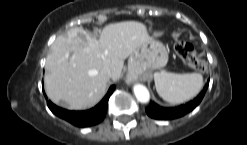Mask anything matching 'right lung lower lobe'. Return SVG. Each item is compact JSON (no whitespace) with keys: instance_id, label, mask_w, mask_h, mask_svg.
I'll list each match as a JSON object with an SVG mask.
<instances>
[{"instance_id":"right-lung-lower-lobe-1","label":"right lung lower lobe","mask_w":247,"mask_h":145,"mask_svg":"<svg viewBox=\"0 0 247 145\" xmlns=\"http://www.w3.org/2000/svg\"><path fill=\"white\" fill-rule=\"evenodd\" d=\"M114 89L115 86L112 85L102 101L96 107L87 111H68L57 107L51 101H48L47 104L50 110L60 118L70 122L75 126L87 127L98 124L104 119L107 111L108 100Z\"/></svg>"}]
</instances>
